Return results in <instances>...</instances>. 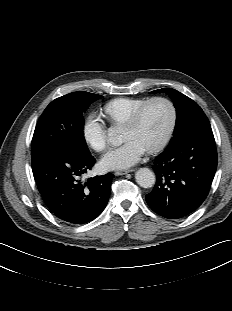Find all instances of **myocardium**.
I'll use <instances>...</instances> for the list:
<instances>
[{
    "label": "myocardium",
    "instance_id": "obj_1",
    "mask_svg": "<svg viewBox=\"0 0 232 311\" xmlns=\"http://www.w3.org/2000/svg\"><path fill=\"white\" fill-rule=\"evenodd\" d=\"M157 102H164L168 105L170 109V122L168 125V128L164 134V136L161 138V140L153 145L152 147L148 148L147 150L151 153L158 152L161 149H163L166 144L171 139L173 132L175 130L176 122H177V109L174 105V103L165 97H154L146 101L143 105H141L131 116V118L128 120V122L124 125V128H134L136 127L140 121L142 120L145 112L147 109L154 103Z\"/></svg>",
    "mask_w": 232,
    "mask_h": 311
}]
</instances>
